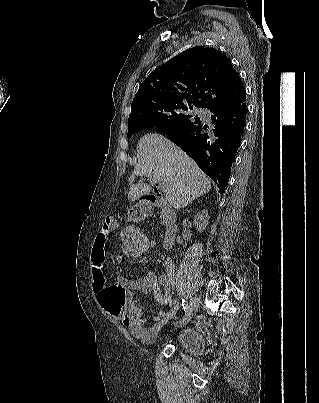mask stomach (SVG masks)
I'll use <instances>...</instances> for the list:
<instances>
[{"label":"stomach","mask_w":319,"mask_h":403,"mask_svg":"<svg viewBox=\"0 0 319 403\" xmlns=\"http://www.w3.org/2000/svg\"><path fill=\"white\" fill-rule=\"evenodd\" d=\"M135 211H134V209L133 208H131L129 211H128V217H127V222L128 223H134L135 222Z\"/></svg>","instance_id":"1"}]
</instances>
